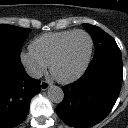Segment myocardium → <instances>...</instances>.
<instances>
[{
    "label": "myocardium",
    "instance_id": "1",
    "mask_svg": "<svg viewBox=\"0 0 128 128\" xmlns=\"http://www.w3.org/2000/svg\"><path fill=\"white\" fill-rule=\"evenodd\" d=\"M77 34H84L85 36H87L88 40H89V51H88V55H87V58L85 60V62L83 63L82 67L72 76L68 77V78H59L55 75L54 73V69L57 65V63L61 60L62 56H63V53H64V49L67 45V43L69 42V40L77 35ZM93 49H94V41H93V38L92 36L90 35V33H88L87 31L85 30H74L69 36H67L63 42L60 44L55 56L53 57L50 65H49V68H50V72L51 74L53 75V77L60 83L62 84H70V83H73L75 82L76 80H78L85 72L86 70L88 69L89 67V64L91 62V59H92V55H93Z\"/></svg>",
    "mask_w": 128,
    "mask_h": 128
}]
</instances>
